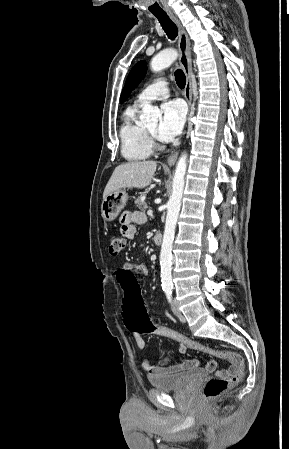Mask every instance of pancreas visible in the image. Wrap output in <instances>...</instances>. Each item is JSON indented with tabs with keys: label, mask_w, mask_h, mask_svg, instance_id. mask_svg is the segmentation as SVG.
Returning <instances> with one entry per match:
<instances>
[{
	"label": "pancreas",
	"mask_w": 289,
	"mask_h": 449,
	"mask_svg": "<svg viewBox=\"0 0 289 449\" xmlns=\"http://www.w3.org/2000/svg\"><path fill=\"white\" fill-rule=\"evenodd\" d=\"M145 198H146V195L142 194L135 200L136 206L142 211H145L147 208V205L145 203Z\"/></svg>",
	"instance_id": "pancreas-1"
}]
</instances>
